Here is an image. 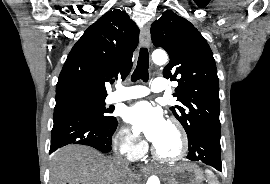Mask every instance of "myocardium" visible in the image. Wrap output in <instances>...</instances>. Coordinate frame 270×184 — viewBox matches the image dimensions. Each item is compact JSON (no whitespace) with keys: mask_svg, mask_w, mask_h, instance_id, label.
Listing matches in <instances>:
<instances>
[{"mask_svg":"<svg viewBox=\"0 0 270 184\" xmlns=\"http://www.w3.org/2000/svg\"><path fill=\"white\" fill-rule=\"evenodd\" d=\"M168 124H170L176 130L179 136L180 149L178 153L173 156H165L159 152V150L156 148L155 145L152 147V152H153L154 157L162 162L177 163L183 160L184 157L187 155L188 147H189L188 136H187L185 128L177 119L175 118L169 119Z\"/></svg>","mask_w":270,"mask_h":184,"instance_id":"obj_1","label":"myocardium"}]
</instances>
